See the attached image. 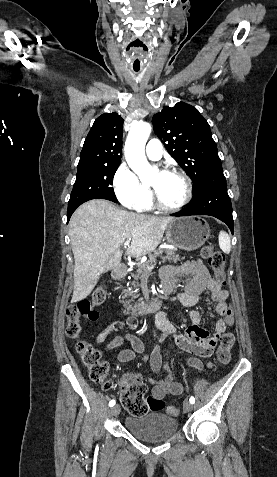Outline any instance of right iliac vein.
<instances>
[{
	"mask_svg": "<svg viewBox=\"0 0 277 477\" xmlns=\"http://www.w3.org/2000/svg\"><path fill=\"white\" fill-rule=\"evenodd\" d=\"M119 412H120V406H119V405H116V406L112 407V409H111V411H110V414H111L112 416H116V415L119 414Z\"/></svg>",
	"mask_w": 277,
	"mask_h": 477,
	"instance_id": "1",
	"label": "right iliac vein"
}]
</instances>
